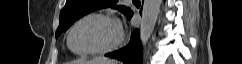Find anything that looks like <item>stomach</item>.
Returning a JSON list of instances; mask_svg holds the SVG:
<instances>
[{"label":"stomach","instance_id":"stomach-1","mask_svg":"<svg viewBox=\"0 0 242 64\" xmlns=\"http://www.w3.org/2000/svg\"><path fill=\"white\" fill-rule=\"evenodd\" d=\"M79 64H104V63H90L89 61H82Z\"/></svg>","mask_w":242,"mask_h":64}]
</instances>
